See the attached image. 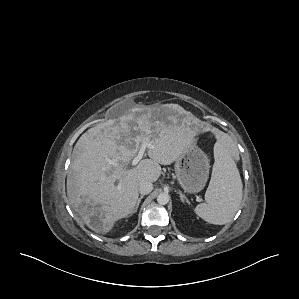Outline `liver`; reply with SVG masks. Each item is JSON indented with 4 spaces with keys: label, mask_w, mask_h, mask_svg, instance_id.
<instances>
[{
    "label": "liver",
    "mask_w": 299,
    "mask_h": 299,
    "mask_svg": "<svg viewBox=\"0 0 299 299\" xmlns=\"http://www.w3.org/2000/svg\"><path fill=\"white\" fill-rule=\"evenodd\" d=\"M171 111V107L135 106L79 138L68 170L67 195L75 213L91 230L107 233L116 221L131 214L137 204L139 182L157 181L160 164L175 162L191 143L183 129L168 122L174 121ZM142 142L151 145L150 159L128 169ZM110 160L118 165L110 164Z\"/></svg>",
    "instance_id": "obj_1"
}]
</instances>
